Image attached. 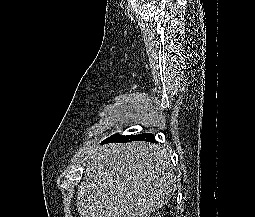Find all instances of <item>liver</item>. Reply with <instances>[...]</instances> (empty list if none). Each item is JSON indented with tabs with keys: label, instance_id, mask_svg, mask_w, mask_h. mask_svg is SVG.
Masks as SVG:
<instances>
[{
	"label": "liver",
	"instance_id": "1",
	"mask_svg": "<svg viewBox=\"0 0 255 217\" xmlns=\"http://www.w3.org/2000/svg\"><path fill=\"white\" fill-rule=\"evenodd\" d=\"M170 156L146 142L94 149L78 188L80 217H146L163 206L176 189Z\"/></svg>",
	"mask_w": 255,
	"mask_h": 217
}]
</instances>
